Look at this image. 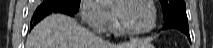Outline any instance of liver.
<instances>
[{"mask_svg":"<svg viewBox=\"0 0 213 48\" xmlns=\"http://www.w3.org/2000/svg\"><path fill=\"white\" fill-rule=\"evenodd\" d=\"M150 46L147 40L112 44L82 27L75 19L52 14L38 23L28 35L26 48H138Z\"/></svg>","mask_w":213,"mask_h":48,"instance_id":"1","label":"liver"}]
</instances>
